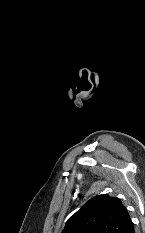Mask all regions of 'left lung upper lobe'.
<instances>
[{
	"instance_id": "obj_1",
	"label": "left lung upper lobe",
	"mask_w": 145,
	"mask_h": 233,
	"mask_svg": "<svg viewBox=\"0 0 145 233\" xmlns=\"http://www.w3.org/2000/svg\"><path fill=\"white\" fill-rule=\"evenodd\" d=\"M134 224L120 199L98 195L71 216L62 233H133Z\"/></svg>"
}]
</instances>
